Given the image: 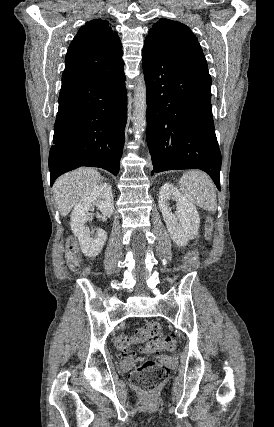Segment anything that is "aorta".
Wrapping results in <instances>:
<instances>
[{
  "mask_svg": "<svg viewBox=\"0 0 274 427\" xmlns=\"http://www.w3.org/2000/svg\"><path fill=\"white\" fill-rule=\"evenodd\" d=\"M146 83L143 75L137 78L134 94L133 128L136 140H140L146 126Z\"/></svg>",
  "mask_w": 274,
  "mask_h": 427,
  "instance_id": "762f6f07",
  "label": "aorta"
}]
</instances>
